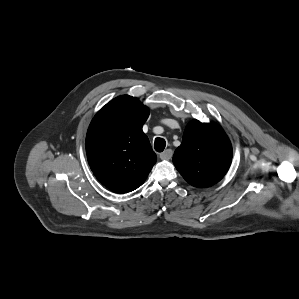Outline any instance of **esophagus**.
<instances>
[{"label": "esophagus", "mask_w": 299, "mask_h": 299, "mask_svg": "<svg viewBox=\"0 0 299 299\" xmlns=\"http://www.w3.org/2000/svg\"><path fill=\"white\" fill-rule=\"evenodd\" d=\"M173 156V151L171 149H166L165 151H163L161 154H160V158L162 160H169L171 159Z\"/></svg>", "instance_id": "1"}]
</instances>
